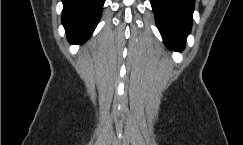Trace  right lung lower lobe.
Returning <instances> with one entry per match:
<instances>
[{
  "label": "right lung lower lobe",
  "mask_w": 243,
  "mask_h": 145,
  "mask_svg": "<svg viewBox=\"0 0 243 145\" xmlns=\"http://www.w3.org/2000/svg\"><path fill=\"white\" fill-rule=\"evenodd\" d=\"M105 0H63L62 24L72 44L85 42L96 28Z\"/></svg>",
  "instance_id": "98d812e1"
}]
</instances>
